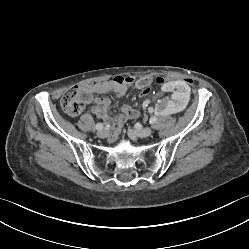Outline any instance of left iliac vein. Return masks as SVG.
<instances>
[{"instance_id": "4c4485c4", "label": "left iliac vein", "mask_w": 249, "mask_h": 249, "mask_svg": "<svg viewBox=\"0 0 249 249\" xmlns=\"http://www.w3.org/2000/svg\"><path fill=\"white\" fill-rule=\"evenodd\" d=\"M134 134L140 138H146L152 134V129L150 127H145L137 131H134L132 129L128 130L129 136H133Z\"/></svg>"}]
</instances>
